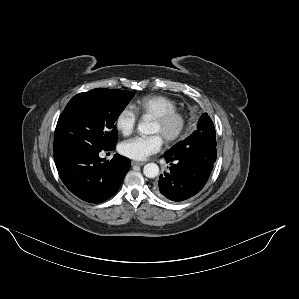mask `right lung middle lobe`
<instances>
[{"instance_id": "right-lung-middle-lobe-1", "label": "right lung middle lobe", "mask_w": 299, "mask_h": 299, "mask_svg": "<svg viewBox=\"0 0 299 299\" xmlns=\"http://www.w3.org/2000/svg\"><path fill=\"white\" fill-rule=\"evenodd\" d=\"M133 96L118 89H93L74 96L58 119L54 152L72 147L114 148V124Z\"/></svg>"}]
</instances>
